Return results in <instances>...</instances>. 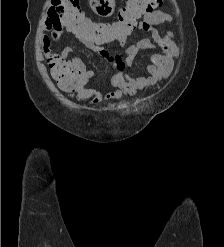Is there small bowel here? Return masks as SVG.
<instances>
[{
    "label": "small bowel",
    "mask_w": 224,
    "mask_h": 247,
    "mask_svg": "<svg viewBox=\"0 0 224 247\" xmlns=\"http://www.w3.org/2000/svg\"><path fill=\"white\" fill-rule=\"evenodd\" d=\"M90 6L96 14L108 16L113 11L114 0H90ZM172 21L173 18L167 10L156 9L144 15L138 25L139 29L149 33L150 36L143 37L129 46H125L127 37L116 40L124 47V58L122 60L124 67L132 66L139 52L157 51L151 54L150 63L145 67L149 74L148 77L133 76L121 69L117 70L118 68L114 63V72L110 79L107 82L100 83V86H110L117 90L102 94L99 90L90 88L85 90L86 96L92 98L94 104H98L102 101L118 99L125 95L134 96L137 92L152 89L161 81L168 79L173 70V59L178 55V48L173 40V33L168 32L162 37L156 26L165 22L171 23ZM43 29L51 32V36L43 37V50L49 62H51L56 58V56L51 53L52 44L59 42L65 32L74 34L61 20L55 8L52 6V1L45 13ZM78 39L87 49L101 54L112 62L114 61V58L103 48V44L106 42L92 39ZM68 52L69 50L64 49L61 56L66 55ZM94 76L95 73L93 71H88L84 81L88 82Z\"/></svg>",
    "instance_id": "c3829d8e"
}]
</instances>
